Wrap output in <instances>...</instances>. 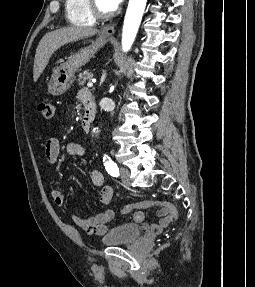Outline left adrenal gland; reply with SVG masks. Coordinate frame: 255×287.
<instances>
[{
    "instance_id": "left-adrenal-gland-1",
    "label": "left adrenal gland",
    "mask_w": 255,
    "mask_h": 287,
    "mask_svg": "<svg viewBox=\"0 0 255 287\" xmlns=\"http://www.w3.org/2000/svg\"><path fill=\"white\" fill-rule=\"evenodd\" d=\"M106 76H107V74H106L105 70H103V76H102V78H101L100 86H101V84H103V82H104Z\"/></svg>"
}]
</instances>
